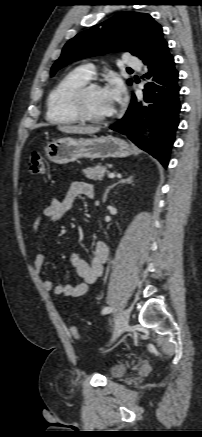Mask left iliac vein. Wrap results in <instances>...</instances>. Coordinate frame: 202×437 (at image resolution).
Returning a JSON list of instances; mask_svg holds the SVG:
<instances>
[{
    "mask_svg": "<svg viewBox=\"0 0 202 437\" xmlns=\"http://www.w3.org/2000/svg\"><path fill=\"white\" fill-rule=\"evenodd\" d=\"M130 312L128 309H125L119 315L116 325L113 332V340L119 337L123 332H125L128 328Z\"/></svg>",
    "mask_w": 202,
    "mask_h": 437,
    "instance_id": "4c4485c4",
    "label": "left iliac vein"
}]
</instances>
